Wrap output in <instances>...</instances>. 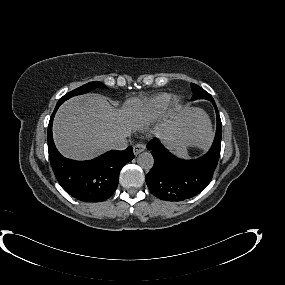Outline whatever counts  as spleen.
Listing matches in <instances>:
<instances>
[{
  "label": "spleen",
  "instance_id": "1",
  "mask_svg": "<svg viewBox=\"0 0 285 285\" xmlns=\"http://www.w3.org/2000/svg\"><path fill=\"white\" fill-rule=\"evenodd\" d=\"M200 124L203 126L208 124V118L204 113H202L200 116ZM175 153L182 158H189V150L186 146L177 148Z\"/></svg>",
  "mask_w": 285,
  "mask_h": 285
}]
</instances>
